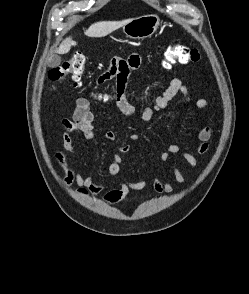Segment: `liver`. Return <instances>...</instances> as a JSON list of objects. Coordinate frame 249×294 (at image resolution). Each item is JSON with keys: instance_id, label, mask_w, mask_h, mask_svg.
Wrapping results in <instances>:
<instances>
[{"instance_id": "6515ba94", "label": "liver", "mask_w": 249, "mask_h": 294, "mask_svg": "<svg viewBox=\"0 0 249 294\" xmlns=\"http://www.w3.org/2000/svg\"><path fill=\"white\" fill-rule=\"evenodd\" d=\"M129 20L123 21H103L92 24L84 34L88 37H104L113 31L119 29L124 24H126ZM76 42H74L70 37L66 38L57 49V53L66 54L70 51L72 46H75Z\"/></svg>"}]
</instances>
